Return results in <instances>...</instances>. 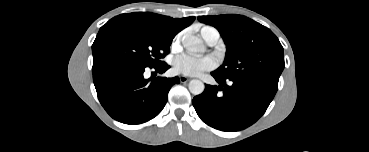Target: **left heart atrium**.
<instances>
[{
	"instance_id": "39dd6f15",
	"label": "left heart atrium",
	"mask_w": 369,
	"mask_h": 152,
	"mask_svg": "<svg viewBox=\"0 0 369 152\" xmlns=\"http://www.w3.org/2000/svg\"><path fill=\"white\" fill-rule=\"evenodd\" d=\"M174 70L183 75L197 76L203 71L209 70L214 66L210 57H200L191 54H182L173 61Z\"/></svg>"
}]
</instances>
